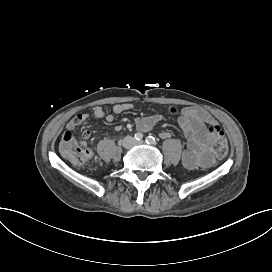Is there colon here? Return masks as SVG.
<instances>
[{
  "mask_svg": "<svg viewBox=\"0 0 272 272\" xmlns=\"http://www.w3.org/2000/svg\"><path fill=\"white\" fill-rule=\"evenodd\" d=\"M208 132L212 136L210 138V147L215 157L222 158L227 151V140L224 131H222L217 125H210ZM61 148L64 153L68 154L70 160L79 167L88 165L90 156L88 154V147L86 143L77 141L72 137L63 139Z\"/></svg>",
  "mask_w": 272,
  "mask_h": 272,
  "instance_id": "5ec220e1",
  "label": "colon"
}]
</instances>
